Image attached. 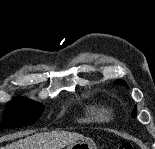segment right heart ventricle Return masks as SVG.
I'll use <instances>...</instances> for the list:
<instances>
[{
  "instance_id": "e07e8e85",
  "label": "right heart ventricle",
  "mask_w": 155,
  "mask_h": 149,
  "mask_svg": "<svg viewBox=\"0 0 155 149\" xmlns=\"http://www.w3.org/2000/svg\"><path fill=\"white\" fill-rule=\"evenodd\" d=\"M110 118V112L101 106L90 105L85 112V121L89 122H105Z\"/></svg>"
}]
</instances>
